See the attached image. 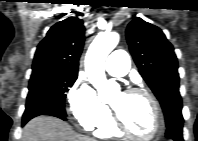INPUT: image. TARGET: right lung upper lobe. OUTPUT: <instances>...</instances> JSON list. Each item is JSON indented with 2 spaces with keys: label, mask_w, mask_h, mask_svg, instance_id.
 I'll use <instances>...</instances> for the list:
<instances>
[{
  "label": "right lung upper lobe",
  "mask_w": 198,
  "mask_h": 141,
  "mask_svg": "<svg viewBox=\"0 0 198 141\" xmlns=\"http://www.w3.org/2000/svg\"><path fill=\"white\" fill-rule=\"evenodd\" d=\"M84 34L83 21L77 17L56 23L37 47L32 73H77Z\"/></svg>",
  "instance_id": "cb5924a9"
}]
</instances>
